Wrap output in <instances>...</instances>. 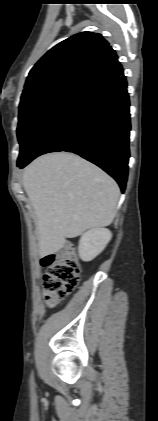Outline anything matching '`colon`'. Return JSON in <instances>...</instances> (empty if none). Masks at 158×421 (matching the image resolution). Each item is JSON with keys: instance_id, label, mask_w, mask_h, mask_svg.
<instances>
[{"instance_id": "colon-1", "label": "colon", "mask_w": 158, "mask_h": 421, "mask_svg": "<svg viewBox=\"0 0 158 421\" xmlns=\"http://www.w3.org/2000/svg\"><path fill=\"white\" fill-rule=\"evenodd\" d=\"M42 264L47 267L42 280L44 300L48 306L54 307L78 286L80 264L72 245L45 256Z\"/></svg>"}]
</instances>
